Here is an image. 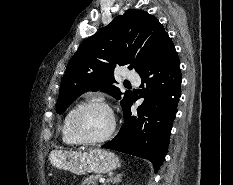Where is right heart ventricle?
I'll return each instance as SVG.
<instances>
[{"mask_svg": "<svg viewBox=\"0 0 233 185\" xmlns=\"http://www.w3.org/2000/svg\"><path fill=\"white\" fill-rule=\"evenodd\" d=\"M82 103H77L73 105L65 114L62 124H61V136L62 141L69 146H77L80 143L73 137L70 129V122L72 119L73 114L76 112V110L82 106Z\"/></svg>", "mask_w": 233, "mask_h": 185, "instance_id": "obj_1", "label": "right heart ventricle"}]
</instances>
